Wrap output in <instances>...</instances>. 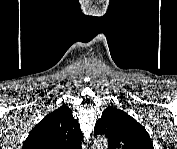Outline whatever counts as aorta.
Instances as JSON below:
<instances>
[{
	"label": "aorta",
	"mask_w": 177,
	"mask_h": 149,
	"mask_svg": "<svg viewBox=\"0 0 177 149\" xmlns=\"http://www.w3.org/2000/svg\"><path fill=\"white\" fill-rule=\"evenodd\" d=\"M98 142L101 143V144H103L104 147L107 146V140H106L104 137L98 139V140H97V143H98Z\"/></svg>",
	"instance_id": "762f6f07"
}]
</instances>
